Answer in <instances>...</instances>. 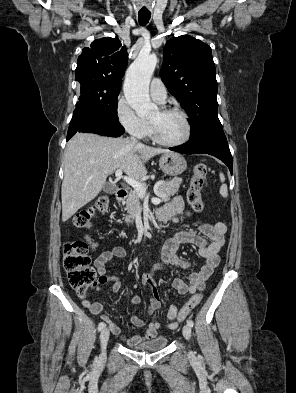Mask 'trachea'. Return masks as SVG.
Masks as SVG:
<instances>
[{
  "label": "trachea",
  "mask_w": 296,
  "mask_h": 393,
  "mask_svg": "<svg viewBox=\"0 0 296 393\" xmlns=\"http://www.w3.org/2000/svg\"><path fill=\"white\" fill-rule=\"evenodd\" d=\"M151 17V12H138V21L140 25L145 26Z\"/></svg>",
  "instance_id": "1"
}]
</instances>
